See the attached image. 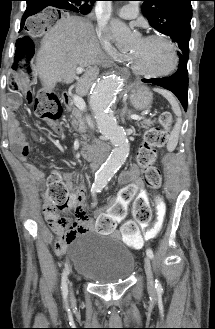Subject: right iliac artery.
<instances>
[{"mask_svg": "<svg viewBox=\"0 0 215 329\" xmlns=\"http://www.w3.org/2000/svg\"><path fill=\"white\" fill-rule=\"evenodd\" d=\"M91 192H92V195L93 197H95L96 195V192H98L96 189H91ZM95 202L93 203V206H95ZM67 274H68V271H67V268L64 270L63 272V276H62V286H61V289H62V295H63V298L64 300L66 301L67 299V295H68V287H67Z\"/></svg>", "mask_w": 215, "mask_h": 329, "instance_id": "right-iliac-artery-1", "label": "right iliac artery"}]
</instances>
